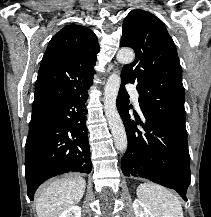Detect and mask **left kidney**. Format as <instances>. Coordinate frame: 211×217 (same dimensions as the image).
Masks as SVG:
<instances>
[{
    "mask_svg": "<svg viewBox=\"0 0 211 217\" xmlns=\"http://www.w3.org/2000/svg\"><path fill=\"white\" fill-rule=\"evenodd\" d=\"M133 210L136 217H154L146 205L138 199L133 202Z\"/></svg>",
    "mask_w": 211,
    "mask_h": 217,
    "instance_id": "1",
    "label": "left kidney"
}]
</instances>
